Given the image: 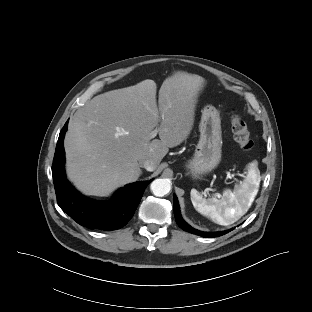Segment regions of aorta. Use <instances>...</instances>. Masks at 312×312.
Segmentation results:
<instances>
[{
	"instance_id": "762f6f07",
	"label": "aorta",
	"mask_w": 312,
	"mask_h": 312,
	"mask_svg": "<svg viewBox=\"0 0 312 312\" xmlns=\"http://www.w3.org/2000/svg\"><path fill=\"white\" fill-rule=\"evenodd\" d=\"M150 187L153 194L158 197H163L171 190V185L167 179H155Z\"/></svg>"
}]
</instances>
